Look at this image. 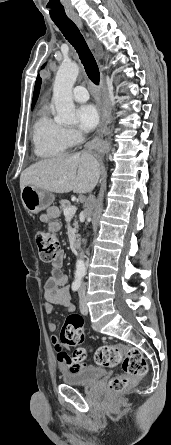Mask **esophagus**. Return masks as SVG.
Segmentation results:
<instances>
[{
    "mask_svg": "<svg viewBox=\"0 0 171 445\" xmlns=\"http://www.w3.org/2000/svg\"><path fill=\"white\" fill-rule=\"evenodd\" d=\"M72 20H73L79 27H82V21H81V19H80L79 17H77V16L72 17ZM102 88H103V90H105V80H104V77H103V76H102ZM105 130H106V123H105V119L103 118V119H102V122H101V126H100L99 135L102 136V135L104 134Z\"/></svg>",
    "mask_w": 171,
    "mask_h": 445,
    "instance_id": "1",
    "label": "esophagus"
}]
</instances>
